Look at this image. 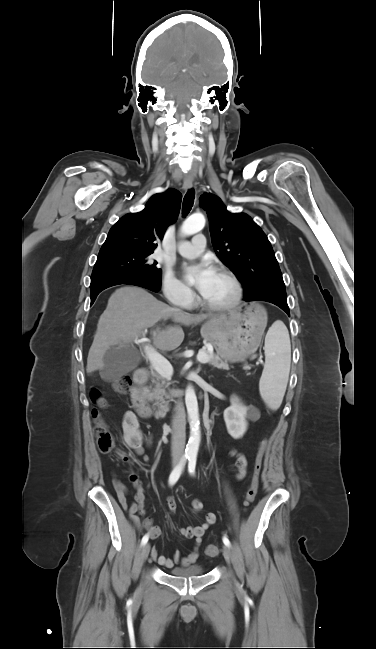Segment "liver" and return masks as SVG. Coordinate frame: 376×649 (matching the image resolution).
I'll use <instances>...</instances> for the list:
<instances>
[{
	"mask_svg": "<svg viewBox=\"0 0 376 649\" xmlns=\"http://www.w3.org/2000/svg\"><path fill=\"white\" fill-rule=\"evenodd\" d=\"M169 318L174 322L191 325L202 322L207 316H193L171 308L139 287L116 289L98 321L87 357V373L103 367V356L109 348L118 344L119 347L132 345L145 329L152 328L161 319ZM183 340L184 332L178 326L162 330L158 328L153 335L154 346L166 352L176 349Z\"/></svg>",
	"mask_w": 376,
	"mask_h": 649,
	"instance_id": "obj_1",
	"label": "liver"
}]
</instances>
